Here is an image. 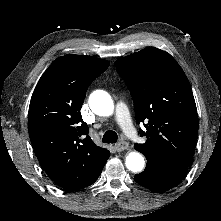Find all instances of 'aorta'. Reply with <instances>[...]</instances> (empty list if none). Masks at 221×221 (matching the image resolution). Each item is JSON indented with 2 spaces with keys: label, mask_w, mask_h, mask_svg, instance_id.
I'll return each instance as SVG.
<instances>
[{
  "label": "aorta",
  "mask_w": 221,
  "mask_h": 221,
  "mask_svg": "<svg viewBox=\"0 0 221 221\" xmlns=\"http://www.w3.org/2000/svg\"><path fill=\"white\" fill-rule=\"evenodd\" d=\"M91 110L99 116H110L114 111V103L111 96L103 90H96L89 97ZM128 170L137 173L141 172L145 166L144 157L139 152H130L125 160Z\"/></svg>",
  "instance_id": "aorta-1"
}]
</instances>
